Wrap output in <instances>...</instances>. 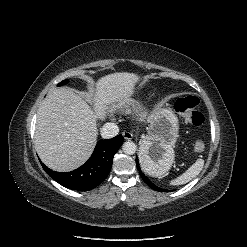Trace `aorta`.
Here are the masks:
<instances>
[{"label":"aorta","mask_w":247,"mask_h":247,"mask_svg":"<svg viewBox=\"0 0 247 247\" xmlns=\"http://www.w3.org/2000/svg\"><path fill=\"white\" fill-rule=\"evenodd\" d=\"M136 144L132 141H127L122 145L123 152L128 155H132L136 152Z\"/></svg>","instance_id":"762f6f07"}]
</instances>
